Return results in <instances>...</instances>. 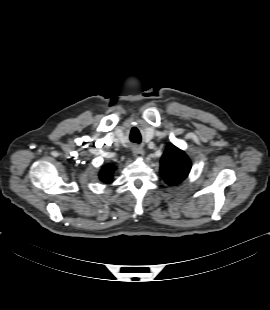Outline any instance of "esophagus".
Masks as SVG:
<instances>
[{
  "mask_svg": "<svg viewBox=\"0 0 270 310\" xmlns=\"http://www.w3.org/2000/svg\"><path fill=\"white\" fill-rule=\"evenodd\" d=\"M133 156L135 158H143L144 157V150L139 146H134L133 149Z\"/></svg>",
  "mask_w": 270,
  "mask_h": 310,
  "instance_id": "34e87169",
  "label": "esophagus"
}]
</instances>
